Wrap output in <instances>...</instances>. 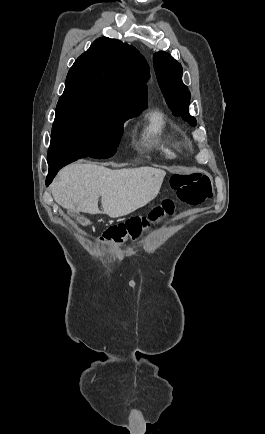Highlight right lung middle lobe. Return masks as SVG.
I'll use <instances>...</instances> for the list:
<instances>
[{"mask_svg": "<svg viewBox=\"0 0 265 434\" xmlns=\"http://www.w3.org/2000/svg\"><path fill=\"white\" fill-rule=\"evenodd\" d=\"M145 107L92 86H65L52 127L48 164L116 152L123 125Z\"/></svg>", "mask_w": 265, "mask_h": 434, "instance_id": "right-lung-middle-lobe-1", "label": "right lung middle lobe"}]
</instances>
